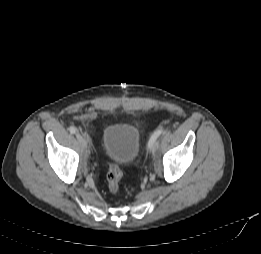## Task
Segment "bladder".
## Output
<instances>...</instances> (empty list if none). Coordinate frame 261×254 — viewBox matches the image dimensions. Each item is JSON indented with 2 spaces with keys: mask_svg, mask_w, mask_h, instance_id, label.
<instances>
[{
  "mask_svg": "<svg viewBox=\"0 0 261 254\" xmlns=\"http://www.w3.org/2000/svg\"><path fill=\"white\" fill-rule=\"evenodd\" d=\"M104 153L119 164H130L135 160L140 149L138 129L130 124H113L103 134Z\"/></svg>",
  "mask_w": 261,
  "mask_h": 254,
  "instance_id": "1",
  "label": "bladder"
}]
</instances>
